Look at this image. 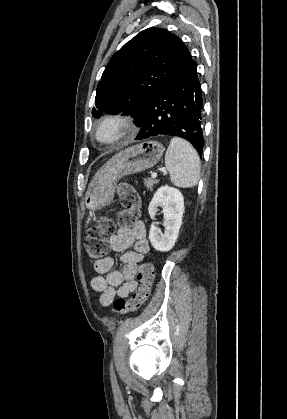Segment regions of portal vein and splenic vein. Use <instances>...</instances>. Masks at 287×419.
Masks as SVG:
<instances>
[{
	"label": "portal vein and splenic vein",
	"instance_id": "18ae733b",
	"mask_svg": "<svg viewBox=\"0 0 287 419\" xmlns=\"http://www.w3.org/2000/svg\"><path fill=\"white\" fill-rule=\"evenodd\" d=\"M161 171L162 172H166V170L164 168H162ZM151 177L152 178H156L157 177V173L156 172L152 173Z\"/></svg>",
	"mask_w": 287,
	"mask_h": 419
}]
</instances>
